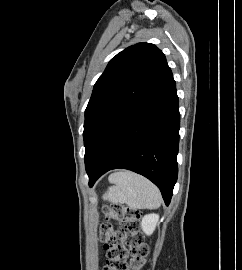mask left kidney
Segmentation results:
<instances>
[{"label": "left kidney", "instance_id": "5707ae66", "mask_svg": "<svg viewBox=\"0 0 242 270\" xmlns=\"http://www.w3.org/2000/svg\"><path fill=\"white\" fill-rule=\"evenodd\" d=\"M158 220H159V215L157 214L152 213V214L145 215L141 221V228L143 232L146 235H151L156 228Z\"/></svg>", "mask_w": 242, "mask_h": 270}]
</instances>
